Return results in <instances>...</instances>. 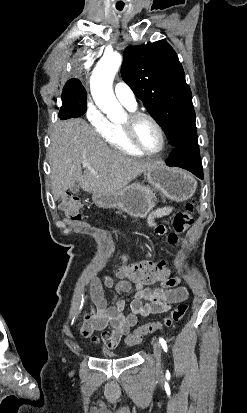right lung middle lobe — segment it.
I'll return each instance as SVG.
<instances>
[{"instance_id": "dd1d6c3e", "label": "right lung middle lobe", "mask_w": 247, "mask_h": 413, "mask_svg": "<svg viewBox=\"0 0 247 413\" xmlns=\"http://www.w3.org/2000/svg\"><path fill=\"white\" fill-rule=\"evenodd\" d=\"M63 104L76 111L78 117L82 116L87 109V92L80 80H69L62 93Z\"/></svg>"}]
</instances>
